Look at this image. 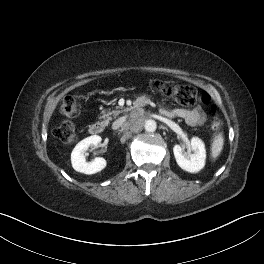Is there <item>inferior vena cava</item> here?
<instances>
[{
  "mask_svg": "<svg viewBox=\"0 0 264 264\" xmlns=\"http://www.w3.org/2000/svg\"><path fill=\"white\" fill-rule=\"evenodd\" d=\"M125 122V119L120 118L118 120H116L113 125H112V129L116 130L118 128H121L122 124Z\"/></svg>",
  "mask_w": 264,
  "mask_h": 264,
  "instance_id": "602c4592",
  "label": "inferior vena cava"
}]
</instances>
